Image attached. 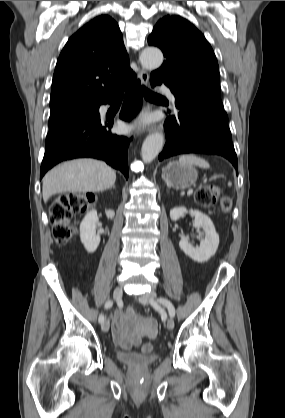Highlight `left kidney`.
Wrapping results in <instances>:
<instances>
[{
  "label": "left kidney",
  "mask_w": 285,
  "mask_h": 418,
  "mask_svg": "<svg viewBox=\"0 0 285 418\" xmlns=\"http://www.w3.org/2000/svg\"><path fill=\"white\" fill-rule=\"evenodd\" d=\"M190 213L194 217L193 226L195 228H202L204 236L201 239L199 246H193L187 237H182L179 246L180 249L188 255L191 259L197 262H206L213 255H215L219 245V235L217 234L212 220L204 213L185 207H174L170 210V218L172 221L179 220L182 216Z\"/></svg>",
  "instance_id": "obj_1"
}]
</instances>
